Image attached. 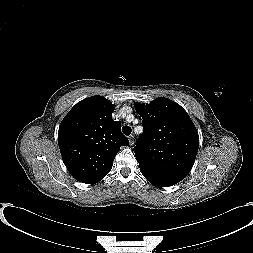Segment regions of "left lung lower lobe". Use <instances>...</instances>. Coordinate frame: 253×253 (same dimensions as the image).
Returning a JSON list of instances; mask_svg holds the SVG:
<instances>
[{"label": "left lung lower lobe", "mask_w": 253, "mask_h": 253, "mask_svg": "<svg viewBox=\"0 0 253 253\" xmlns=\"http://www.w3.org/2000/svg\"><path fill=\"white\" fill-rule=\"evenodd\" d=\"M146 178V177H145ZM151 184H153L154 186L156 187H168V185H165V184H162V183H159V182H156L154 180H151L149 178H146Z\"/></svg>", "instance_id": "left-lung-lower-lobe-1"}]
</instances>
